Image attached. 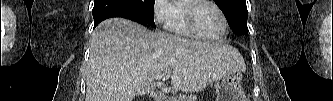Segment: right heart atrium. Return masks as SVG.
<instances>
[{"label": "right heart atrium", "instance_id": "right-heart-atrium-1", "mask_svg": "<svg viewBox=\"0 0 333 101\" xmlns=\"http://www.w3.org/2000/svg\"><path fill=\"white\" fill-rule=\"evenodd\" d=\"M153 17L155 23L161 27L169 28L173 15V5L168 0H156L153 4Z\"/></svg>", "mask_w": 333, "mask_h": 101}]
</instances>
